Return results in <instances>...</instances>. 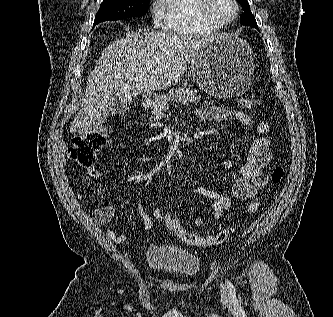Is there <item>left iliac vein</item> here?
Returning <instances> with one entry per match:
<instances>
[{"label":"left iliac vein","instance_id":"4c4485c4","mask_svg":"<svg viewBox=\"0 0 333 317\" xmlns=\"http://www.w3.org/2000/svg\"><path fill=\"white\" fill-rule=\"evenodd\" d=\"M221 294L222 296L227 297V290L224 286H221Z\"/></svg>","mask_w":333,"mask_h":317}]
</instances>
